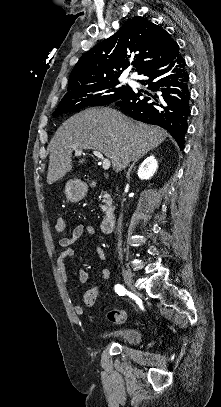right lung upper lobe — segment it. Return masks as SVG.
<instances>
[{"instance_id": "1", "label": "right lung upper lobe", "mask_w": 221, "mask_h": 407, "mask_svg": "<svg viewBox=\"0 0 221 407\" xmlns=\"http://www.w3.org/2000/svg\"><path fill=\"white\" fill-rule=\"evenodd\" d=\"M175 44L166 30L135 16L113 36L80 57L70 74L68 92L105 82H118L121 73L130 65L141 74L165 57Z\"/></svg>"}]
</instances>
